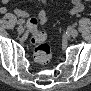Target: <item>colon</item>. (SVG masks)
<instances>
[{
  "mask_svg": "<svg viewBox=\"0 0 91 91\" xmlns=\"http://www.w3.org/2000/svg\"><path fill=\"white\" fill-rule=\"evenodd\" d=\"M45 16L31 17L28 20V30L31 35V43L34 46V59L37 63L44 65L49 63L52 57L51 47L47 42V35L38 30V26L45 22Z\"/></svg>",
  "mask_w": 91,
  "mask_h": 91,
  "instance_id": "1",
  "label": "colon"
}]
</instances>
